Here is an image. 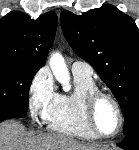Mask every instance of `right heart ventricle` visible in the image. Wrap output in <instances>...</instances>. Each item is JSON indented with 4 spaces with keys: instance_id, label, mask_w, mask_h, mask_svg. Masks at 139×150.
I'll return each instance as SVG.
<instances>
[{
    "instance_id": "obj_1",
    "label": "right heart ventricle",
    "mask_w": 139,
    "mask_h": 150,
    "mask_svg": "<svg viewBox=\"0 0 139 150\" xmlns=\"http://www.w3.org/2000/svg\"><path fill=\"white\" fill-rule=\"evenodd\" d=\"M74 90L56 94L48 106L44 120L52 131L83 139H96L84 117V102L88 94L98 90L93 78L74 76Z\"/></svg>"
}]
</instances>
